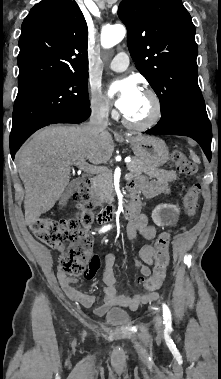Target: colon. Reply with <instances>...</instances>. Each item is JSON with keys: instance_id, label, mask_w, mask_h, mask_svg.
Here are the masks:
<instances>
[{"instance_id": "colon-1", "label": "colon", "mask_w": 221, "mask_h": 379, "mask_svg": "<svg viewBox=\"0 0 221 379\" xmlns=\"http://www.w3.org/2000/svg\"><path fill=\"white\" fill-rule=\"evenodd\" d=\"M171 160L179 172L186 176H198V166L189 160L182 152L174 151ZM201 185L198 181L189 185L185 198L184 208L187 216L192 217L199 205ZM79 209L76 219L54 220L48 217H40L34 220L30 229L34 236L47 246L61 251L59 270L72 276H80L85 272L88 258L91 254L92 240L90 228L94 221V203L89 190L83 187L73 193ZM170 232H162L155 242V265L153 274L139 282L146 290L155 291L159 289L166 278L169 265Z\"/></svg>"}]
</instances>
